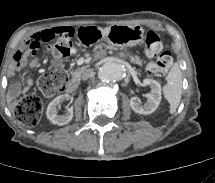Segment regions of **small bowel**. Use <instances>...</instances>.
<instances>
[{"mask_svg": "<svg viewBox=\"0 0 215 183\" xmlns=\"http://www.w3.org/2000/svg\"><path fill=\"white\" fill-rule=\"evenodd\" d=\"M66 31H71V29L69 27H53V28H47V29L35 32L31 36H29L25 42L24 49L22 51L17 52L13 64L8 69V75L14 76L16 73L20 72L28 65L27 56H24L22 52L25 50V47L29 42L34 41L36 39H38L41 42V44L45 42H49L58 33L66 32ZM31 64L37 67L40 65V62L38 60H33ZM59 65H60V60L58 59L53 60V66H59ZM31 84L32 82L30 80L27 82V85L25 86H21L19 83L14 84L10 90V97L14 98L21 91H26Z\"/></svg>", "mask_w": 215, "mask_h": 183, "instance_id": "small-bowel-1", "label": "small bowel"}]
</instances>
